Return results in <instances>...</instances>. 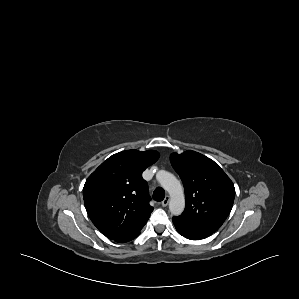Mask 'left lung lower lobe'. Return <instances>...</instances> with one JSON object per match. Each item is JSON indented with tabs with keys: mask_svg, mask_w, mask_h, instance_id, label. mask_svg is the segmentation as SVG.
<instances>
[{
	"mask_svg": "<svg viewBox=\"0 0 299 299\" xmlns=\"http://www.w3.org/2000/svg\"><path fill=\"white\" fill-rule=\"evenodd\" d=\"M172 220H173V223H174L175 228L178 231V233H180L182 236L186 237L187 239L200 240V239H204V238H207L208 236H210V234H208L206 232L188 228L177 217H173Z\"/></svg>",
	"mask_w": 299,
	"mask_h": 299,
	"instance_id": "0a47b994",
	"label": "left lung lower lobe"
}]
</instances>
